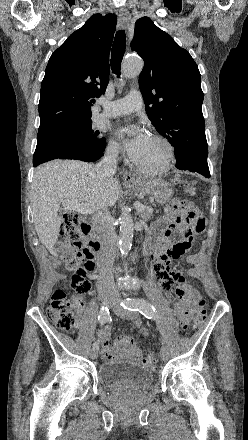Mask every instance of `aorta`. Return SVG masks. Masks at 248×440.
I'll return each instance as SVG.
<instances>
[{"label":"aorta","mask_w":248,"mask_h":440,"mask_svg":"<svg viewBox=\"0 0 248 440\" xmlns=\"http://www.w3.org/2000/svg\"><path fill=\"white\" fill-rule=\"evenodd\" d=\"M143 61L139 57H128L123 61L122 74L125 78L137 77L143 69ZM120 233H119V245L122 255L132 247L133 234H134V222L129 211L122 210L119 218Z\"/></svg>","instance_id":"762f6f07"}]
</instances>
